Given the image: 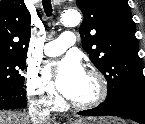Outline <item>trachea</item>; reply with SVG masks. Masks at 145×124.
Instances as JSON below:
<instances>
[{
  "mask_svg": "<svg viewBox=\"0 0 145 124\" xmlns=\"http://www.w3.org/2000/svg\"><path fill=\"white\" fill-rule=\"evenodd\" d=\"M43 7L45 10V13L47 14V16H51L52 14V6H51V1L50 0H43Z\"/></svg>",
  "mask_w": 145,
  "mask_h": 124,
  "instance_id": "trachea-1",
  "label": "trachea"
}]
</instances>
